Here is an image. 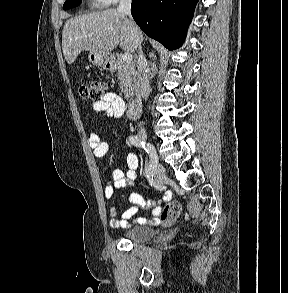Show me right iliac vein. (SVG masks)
Segmentation results:
<instances>
[{"instance_id":"obj_1","label":"right iliac vein","mask_w":288,"mask_h":293,"mask_svg":"<svg viewBox=\"0 0 288 293\" xmlns=\"http://www.w3.org/2000/svg\"><path fill=\"white\" fill-rule=\"evenodd\" d=\"M149 147H153V145L149 144ZM156 156H158L157 153ZM154 179L158 184L162 183L166 179V170L161 163L158 166V170H154Z\"/></svg>"}]
</instances>
